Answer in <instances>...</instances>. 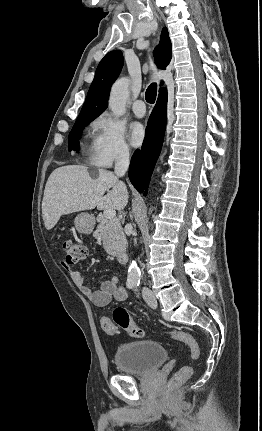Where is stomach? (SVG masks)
<instances>
[{
  "mask_svg": "<svg viewBox=\"0 0 262 431\" xmlns=\"http://www.w3.org/2000/svg\"><path fill=\"white\" fill-rule=\"evenodd\" d=\"M74 224L79 233L90 234L94 229L95 220L88 213H80L75 217Z\"/></svg>",
  "mask_w": 262,
  "mask_h": 431,
  "instance_id": "0dacf381",
  "label": "stomach"
}]
</instances>
